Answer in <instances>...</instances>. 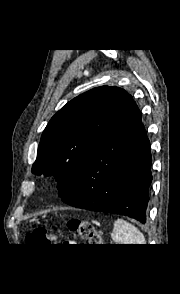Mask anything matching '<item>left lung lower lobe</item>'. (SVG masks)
I'll return each mask as SVG.
<instances>
[{
  "mask_svg": "<svg viewBox=\"0 0 180 294\" xmlns=\"http://www.w3.org/2000/svg\"><path fill=\"white\" fill-rule=\"evenodd\" d=\"M151 162L141 113L133 102L88 162L75 190L62 201L145 223Z\"/></svg>",
  "mask_w": 180,
  "mask_h": 294,
  "instance_id": "obj_1",
  "label": "left lung lower lobe"
}]
</instances>
